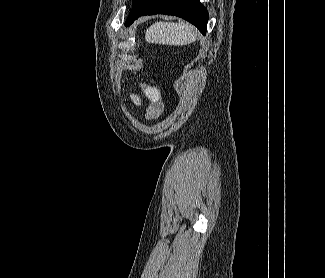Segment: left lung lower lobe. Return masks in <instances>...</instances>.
I'll list each match as a JSON object with an SVG mask.
<instances>
[{
  "label": "left lung lower lobe",
  "instance_id": "obj_1",
  "mask_svg": "<svg viewBox=\"0 0 325 278\" xmlns=\"http://www.w3.org/2000/svg\"><path fill=\"white\" fill-rule=\"evenodd\" d=\"M132 4L126 26L143 15L166 14L181 17L206 34L209 15L199 0H133Z\"/></svg>",
  "mask_w": 325,
  "mask_h": 278
}]
</instances>
